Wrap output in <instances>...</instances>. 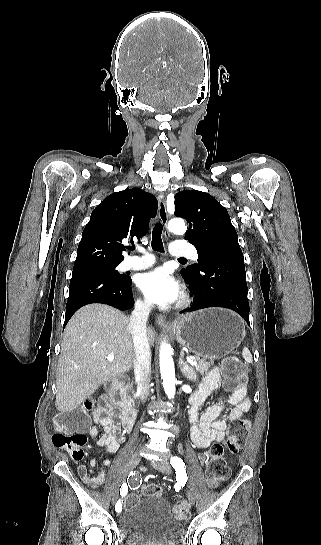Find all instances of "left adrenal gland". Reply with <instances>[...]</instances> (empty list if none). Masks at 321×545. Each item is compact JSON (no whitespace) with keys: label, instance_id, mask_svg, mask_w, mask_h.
Returning a JSON list of instances; mask_svg holds the SVG:
<instances>
[{"label":"left adrenal gland","instance_id":"obj_1","mask_svg":"<svg viewBox=\"0 0 321 545\" xmlns=\"http://www.w3.org/2000/svg\"><path fill=\"white\" fill-rule=\"evenodd\" d=\"M183 359L184 353L183 351H181V357L179 359V367L181 369V373H183L184 377H186V379H189V381H194L195 373L192 367H189L188 363H183Z\"/></svg>","mask_w":321,"mask_h":545}]
</instances>
